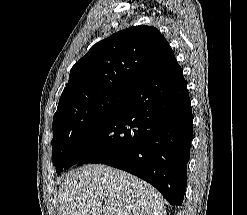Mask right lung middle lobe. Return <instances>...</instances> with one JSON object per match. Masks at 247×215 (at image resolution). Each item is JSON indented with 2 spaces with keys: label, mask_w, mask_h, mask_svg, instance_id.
<instances>
[{
  "label": "right lung middle lobe",
  "mask_w": 247,
  "mask_h": 215,
  "mask_svg": "<svg viewBox=\"0 0 247 215\" xmlns=\"http://www.w3.org/2000/svg\"><path fill=\"white\" fill-rule=\"evenodd\" d=\"M132 92L100 90L86 94L70 93L59 100L53 118L52 160L56 172L70 167L69 153L88 131L117 114L131 97Z\"/></svg>",
  "instance_id": "obj_1"
}]
</instances>
